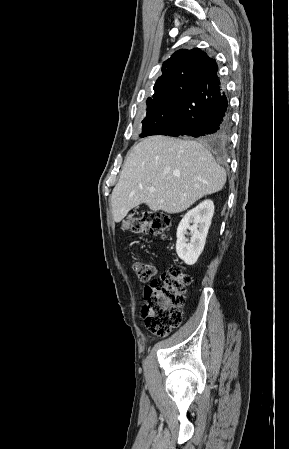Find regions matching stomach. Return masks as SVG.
<instances>
[{
  "label": "stomach",
  "instance_id": "obj_1",
  "mask_svg": "<svg viewBox=\"0 0 289 449\" xmlns=\"http://www.w3.org/2000/svg\"><path fill=\"white\" fill-rule=\"evenodd\" d=\"M122 228H123V229L129 228V222H128V221H124V222H123Z\"/></svg>",
  "mask_w": 289,
  "mask_h": 449
}]
</instances>
